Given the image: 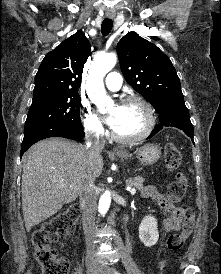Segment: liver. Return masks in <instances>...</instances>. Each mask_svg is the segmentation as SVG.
<instances>
[{
    "instance_id": "liver-1",
    "label": "liver",
    "mask_w": 221,
    "mask_h": 274,
    "mask_svg": "<svg viewBox=\"0 0 221 274\" xmlns=\"http://www.w3.org/2000/svg\"><path fill=\"white\" fill-rule=\"evenodd\" d=\"M102 170V156L90 158L82 144L59 138L34 144L24 156L22 174L26 230L75 201L86 181Z\"/></svg>"
}]
</instances>
